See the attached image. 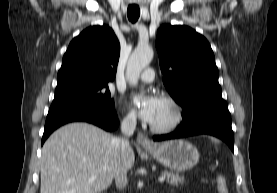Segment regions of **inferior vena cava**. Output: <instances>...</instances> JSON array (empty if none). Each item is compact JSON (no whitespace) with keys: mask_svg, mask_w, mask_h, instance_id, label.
Masks as SVG:
<instances>
[{"mask_svg":"<svg viewBox=\"0 0 277 193\" xmlns=\"http://www.w3.org/2000/svg\"><path fill=\"white\" fill-rule=\"evenodd\" d=\"M136 128V117L135 116H127L121 122V132L123 133L122 138H116L115 141L118 145L121 160L124 164L126 160V154L130 148L128 138L133 135L134 130ZM128 183L127 180V170L123 168L116 176H115V184L117 189L124 190Z\"/></svg>","mask_w":277,"mask_h":193,"instance_id":"inferior-vena-cava-1","label":"inferior vena cava"}]
</instances>
